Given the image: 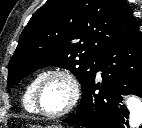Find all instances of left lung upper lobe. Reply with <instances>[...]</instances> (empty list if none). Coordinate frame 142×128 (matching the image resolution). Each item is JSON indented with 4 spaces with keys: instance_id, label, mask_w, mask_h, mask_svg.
I'll use <instances>...</instances> for the list:
<instances>
[{
    "instance_id": "5c2ea615",
    "label": "left lung upper lobe",
    "mask_w": 142,
    "mask_h": 128,
    "mask_svg": "<svg viewBox=\"0 0 142 128\" xmlns=\"http://www.w3.org/2000/svg\"><path fill=\"white\" fill-rule=\"evenodd\" d=\"M137 29L126 0H48L20 35L7 87L31 71L54 65L70 70L83 92L104 52Z\"/></svg>"
}]
</instances>
